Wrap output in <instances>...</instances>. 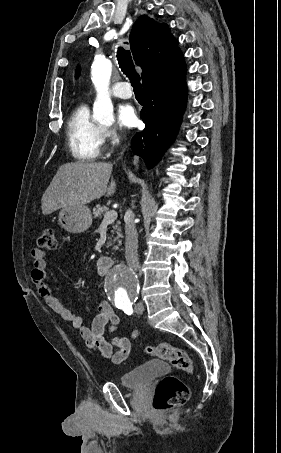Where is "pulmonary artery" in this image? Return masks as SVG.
<instances>
[{
	"instance_id": "e3ab8cb5",
	"label": "pulmonary artery",
	"mask_w": 281,
	"mask_h": 453,
	"mask_svg": "<svg viewBox=\"0 0 281 453\" xmlns=\"http://www.w3.org/2000/svg\"><path fill=\"white\" fill-rule=\"evenodd\" d=\"M110 94L119 98H130L132 96V92L129 89V84L127 82H116L112 86Z\"/></svg>"
}]
</instances>
